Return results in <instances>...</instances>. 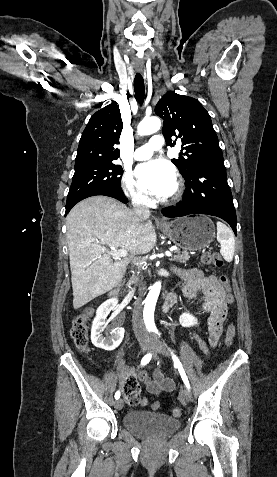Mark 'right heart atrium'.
Here are the masks:
<instances>
[{
    "label": "right heart atrium",
    "mask_w": 277,
    "mask_h": 477,
    "mask_svg": "<svg viewBox=\"0 0 277 477\" xmlns=\"http://www.w3.org/2000/svg\"><path fill=\"white\" fill-rule=\"evenodd\" d=\"M122 187L126 197L138 205H147L150 202L148 193L134 180L130 173H126L122 179Z\"/></svg>",
    "instance_id": "right-heart-atrium-1"
}]
</instances>
